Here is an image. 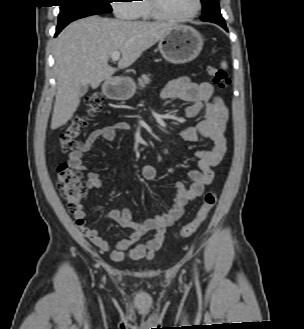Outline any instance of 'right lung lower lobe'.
Listing matches in <instances>:
<instances>
[{"instance_id":"1","label":"right lung lower lobe","mask_w":304,"mask_h":329,"mask_svg":"<svg viewBox=\"0 0 304 329\" xmlns=\"http://www.w3.org/2000/svg\"><path fill=\"white\" fill-rule=\"evenodd\" d=\"M64 27H65V26H63V27H60V28H59V27H57V28H56V33H55V36H56V35H58V34H59V32H60V31H61V30H62Z\"/></svg>"}]
</instances>
